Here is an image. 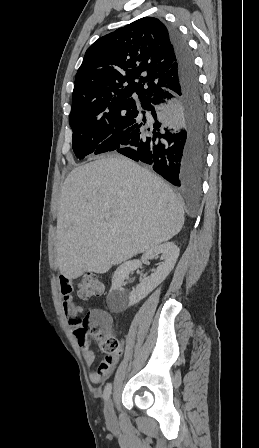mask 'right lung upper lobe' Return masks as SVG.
I'll list each match as a JSON object with an SVG mask.
<instances>
[{"label": "right lung upper lobe", "instance_id": "obj_1", "mask_svg": "<svg viewBox=\"0 0 259 448\" xmlns=\"http://www.w3.org/2000/svg\"><path fill=\"white\" fill-rule=\"evenodd\" d=\"M178 85L167 27L157 18L143 17L87 49L76 74L70 115L143 105Z\"/></svg>", "mask_w": 259, "mask_h": 448}]
</instances>
